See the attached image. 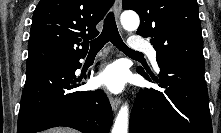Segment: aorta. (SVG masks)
Returning <instances> with one entry per match:
<instances>
[{
  "label": "aorta",
  "mask_w": 221,
  "mask_h": 133,
  "mask_svg": "<svg viewBox=\"0 0 221 133\" xmlns=\"http://www.w3.org/2000/svg\"><path fill=\"white\" fill-rule=\"evenodd\" d=\"M121 24L126 30H136L139 27V16L132 11L123 12L121 15ZM129 109L125 103L119 110L112 133H128Z\"/></svg>",
  "instance_id": "762f6f07"
}]
</instances>
